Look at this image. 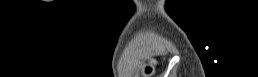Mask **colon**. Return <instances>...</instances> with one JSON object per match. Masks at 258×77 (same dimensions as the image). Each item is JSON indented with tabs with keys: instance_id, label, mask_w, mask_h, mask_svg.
Wrapping results in <instances>:
<instances>
[{
	"instance_id": "1",
	"label": "colon",
	"mask_w": 258,
	"mask_h": 77,
	"mask_svg": "<svg viewBox=\"0 0 258 77\" xmlns=\"http://www.w3.org/2000/svg\"><path fill=\"white\" fill-rule=\"evenodd\" d=\"M152 71H153L152 66H147L146 69H145V72H146L147 75L151 74Z\"/></svg>"
}]
</instances>
